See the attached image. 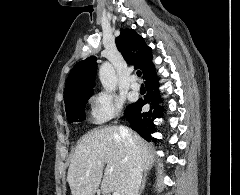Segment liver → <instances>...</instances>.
Returning <instances> with one entry per match:
<instances>
[{"instance_id":"6515ba94","label":"liver","mask_w":240,"mask_h":195,"mask_svg":"<svg viewBox=\"0 0 240 195\" xmlns=\"http://www.w3.org/2000/svg\"><path fill=\"white\" fill-rule=\"evenodd\" d=\"M119 129V125L91 129L78 141L67 173L72 195H95L99 185L102 193L118 191L120 195H125L129 177V149L124 145ZM128 131L139 149L142 169L149 171L154 157L151 143L132 129Z\"/></svg>"}]
</instances>
